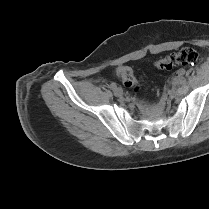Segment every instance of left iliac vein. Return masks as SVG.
I'll return each mask as SVG.
<instances>
[{
	"label": "left iliac vein",
	"mask_w": 209,
	"mask_h": 209,
	"mask_svg": "<svg viewBox=\"0 0 209 209\" xmlns=\"http://www.w3.org/2000/svg\"><path fill=\"white\" fill-rule=\"evenodd\" d=\"M180 78H182V76L179 75V76H177L175 79L172 80V83H171V84H172L173 87L176 88V87L179 86V79H180Z\"/></svg>",
	"instance_id": "left-iliac-vein-1"
}]
</instances>
